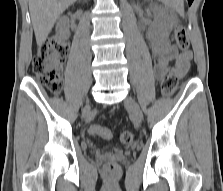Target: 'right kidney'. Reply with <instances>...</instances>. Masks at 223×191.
I'll return each mask as SVG.
<instances>
[{
  "mask_svg": "<svg viewBox=\"0 0 223 191\" xmlns=\"http://www.w3.org/2000/svg\"><path fill=\"white\" fill-rule=\"evenodd\" d=\"M56 30L61 39H67L70 35L69 33V19L67 17H62L59 19L56 25Z\"/></svg>",
  "mask_w": 223,
  "mask_h": 191,
  "instance_id": "obj_1",
  "label": "right kidney"
}]
</instances>
